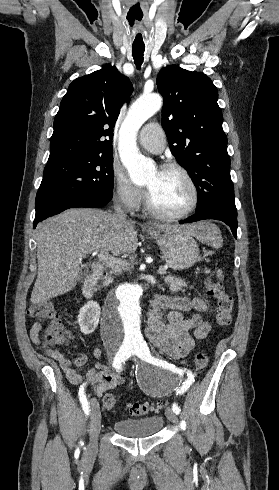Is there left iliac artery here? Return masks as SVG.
<instances>
[{
    "instance_id": "left-iliac-artery-1",
    "label": "left iliac artery",
    "mask_w": 279,
    "mask_h": 490,
    "mask_svg": "<svg viewBox=\"0 0 279 490\" xmlns=\"http://www.w3.org/2000/svg\"><path fill=\"white\" fill-rule=\"evenodd\" d=\"M140 349L145 354L148 362L154 363L156 365H162L163 367L165 366V368L170 369V370H173L174 372H177V373H180V374L183 373V370L176 368L175 365L168 364L166 361H162V360L155 359L154 357H152L151 354H150V351H149V348H148L146 342L140 345ZM194 381H195L194 374L191 371L188 370L187 371V380L185 382H183V384L180 387V389L177 390V395L185 392L190 387V385H192V383ZM172 410H173V412L175 414H179L180 413V408L175 403L173 404Z\"/></svg>"
}]
</instances>
